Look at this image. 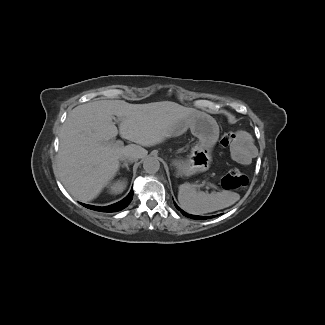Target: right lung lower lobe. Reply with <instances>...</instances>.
Returning <instances> with one entry per match:
<instances>
[{
	"label": "right lung lower lobe",
	"instance_id": "right-lung-lower-lobe-1",
	"mask_svg": "<svg viewBox=\"0 0 325 325\" xmlns=\"http://www.w3.org/2000/svg\"><path fill=\"white\" fill-rule=\"evenodd\" d=\"M133 197V190L130 191V193L121 201L112 204L110 206H106V207H95V206H91V205H86V204H82L83 206L92 209V210H96V211H101V212H115V211H119L124 209L125 207H127L129 205V203L131 202Z\"/></svg>",
	"mask_w": 325,
	"mask_h": 325
}]
</instances>
